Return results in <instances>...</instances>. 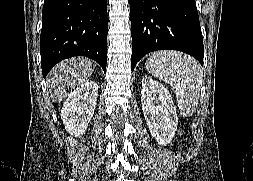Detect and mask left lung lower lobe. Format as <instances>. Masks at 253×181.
<instances>
[{
	"mask_svg": "<svg viewBox=\"0 0 253 181\" xmlns=\"http://www.w3.org/2000/svg\"><path fill=\"white\" fill-rule=\"evenodd\" d=\"M132 71L147 53L173 49L203 65V39L195 0H129Z\"/></svg>",
	"mask_w": 253,
	"mask_h": 181,
	"instance_id": "1",
	"label": "left lung lower lobe"
}]
</instances>
